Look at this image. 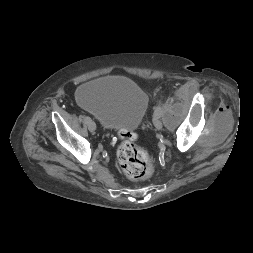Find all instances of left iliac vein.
I'll return each mask as SVG.
<instances>
[{"label": "left iliac vein", "mask_w": 253, "mask_h": 253, "mask_svg": "<svg viewBox=\"0 0 253 253\" xmlns=\"http://www.w3.org/2000/svg\"><path fill=\"white\" fill-rule=\"evenodd\" d=\"M154 126L156 127L157 130H160L163 126L162 121L159 119L157 114H154Z\"/></svg>", "instance_id": "left-iliac-vein-1"}]
</instances>
